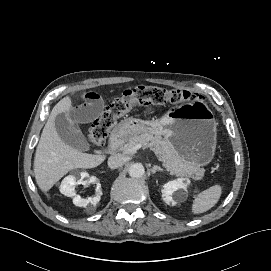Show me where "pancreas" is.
Instances as JSON below:
<instances>
[{"label":"pancreas","mask_w":271,"mask_h":271,"mask_svg":"<svg viewBox=\"0 0 271 271\" xmlns=\"http://www.w3.org/2000/svg\"><path fill=\"white\" fill-rule=\"evenodd\" d=\"M137 144L150 147L163 162L166 170L171 174L177 176H190L196 179H201L204 175V170L200 168V166L193 165L190 162L185 161L176 152L172 144L160 135H152L147 132L133 135L129 138L128 142L121 147V150L125 152Z\"/></svg>","instance_id":"obj_1"}]
</instances>
